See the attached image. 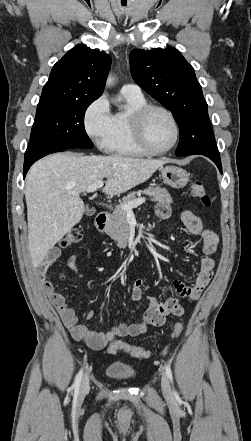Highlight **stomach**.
<instances>
[{
	"label": "stomach",
	"instance_id": "stomach-1",
	"mask_svg": "<svg viewBox=\"0 0 251 441\" xmlns=\"http://www.w3.org/2000/svg\"><path fill=\"white\" fill-rule=\"evenodd\" d=\"M161 175L164 183L175 189L183 188L189 181V173L174 165L161 168Z\"/></svg>",
	"mask_w": 251,
	"mask_h": 441
}]
</instances>
